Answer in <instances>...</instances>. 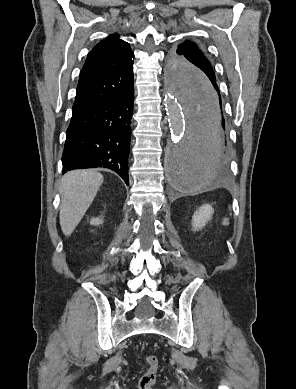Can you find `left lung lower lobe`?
Wrapping results in <instances>:
<instances>
[{"instance_id": "0a47b994", "label": "left lung lower lobe", "mask_w": 296, "mask_h": 389, "mask_svg": "<svg viewBox=\"0 0 296 389\" xmlns=\"http://www.w3.org/2000/svg\"><path fill=\"white\" fill-rule=\"evenodd\" d=\"M180 87L183 94L191 88L201 98L204 105L210 109L211 122L201 133L192 129L190 138L177 160L176 171L179 175L184 173L187 179L214 177L223 181L227 176L228 123L216 77H196L192 87L186 84ZM210 163L212 167L209 174L201 173Z\"/></svg>"}]
</instances>
